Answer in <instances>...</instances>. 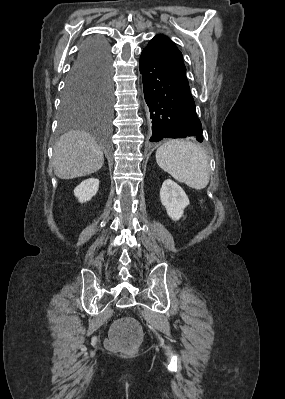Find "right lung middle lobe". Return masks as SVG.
<instances>
[{
  "label": "right lung middle lobe",
  "mask_w": 285,
  "mask_h": 399,
  "mask_svg": "<svg viewBox=\"0 0 285 399\" xmlns=\"http://www.w3.org/2000/svg\"><path fill=\"white\" fill-rule=\"evenodd\" d=\"M111 103V66L93 64L72 69L62 93L60 107L62 130L90 111L108 120L111 115Z\"/></svg>",
  "instance_id": "obj_1"
}]
</instances>
